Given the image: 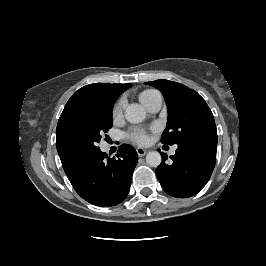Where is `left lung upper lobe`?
<instances>
[{"mask_svg": "<svg viewBox=\"0 0 266 266\" xmlns=\"http://www.w3.org/2000/svg\"><path fill=\"white\" fill-rule=\"evenodd\" d=\"M145 84L159 89L167 104L168 120L161 137L162 143L179 145L203 140L217 141L213 114L195 90L164 79Z\"/></svg>", "mask_w": 266, "mask_h": 266, "instance_id": "1", "label": "left lung upper lobe"}]
</instances>
